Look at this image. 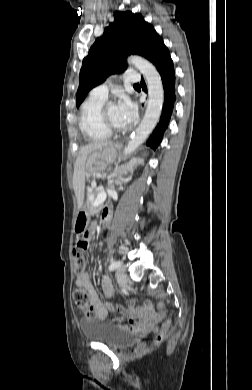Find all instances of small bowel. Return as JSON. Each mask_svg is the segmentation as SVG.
<instances>
[{"mask_svg": "<svg viewBox=\"0 0 252 390\" xmlns=\"http://www.w3.org/2000/svg\"><path fill=\"white\" fill-rule=\"evenodd\" d=\"M111 210L109 207L104 208L101 214L102 221L110 219ZM87 246L92 236V230L86 233ZM102 291L107 299L113 296L114 288L111 279L108 275H103L100 280ZM76 286L83 287L89 294V301L91 307L95 310V316L98 319H106L110 313L114 311V307L110 305H104L98 296V293L91 281L90 276L83 272L77 275ZM117 309L120 311L125 319V323L121 326L127 329H131L138 334L146 335L152 333L157 328V323L164 316L163 305L159 304V313H156L154 307L150 303H146L143 306H137L134 299L128 301V307L118 306Z\"/></svg>", "mask_w": 252, "mask_h": 390, "instance_id": "obj_1", "label": "small bowel"}]
</instances>
